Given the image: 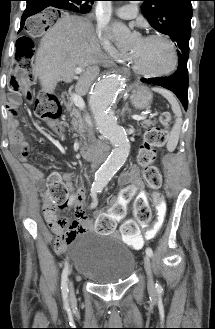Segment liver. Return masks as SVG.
<instances>
[{
  "label": "liver",
  "mask_w": 215,
  "mask_h": 329,
  "mask_svg": "<svg viewBox=\"0 0 215 329\" xmlns=\"http://www.w3.org/2000/svg\"><path fill=\"white\" fill-rule=\"evenodd\" d=\"M100 63H105V56L92 23L81 16L64 15L42 37L34 71L43 90L53 93L59 81L71 82L75 69L81 67L76 92L83 95L97 77Z\"/></svg>",
  "instance_id": "6515ba94"
}]
</instances>
